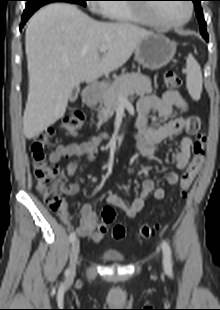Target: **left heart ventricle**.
Here are the masks:
<instances>
[{"mask_svg":"<svg viewBox=\"0 0 220 310\" xmlns=\"http://www.w3.org/2000/svg\"><path fill=\"white\" fill-rule=\"evenodd\" d=\"M155 16L166 22H177L187 15L185 3H168L160 4L152 8Z\"/></svg>","mask_w":220,"mask_h":310,"instance_id":"b2bd125f","label":"left heart ventricle"}]
</instances>
